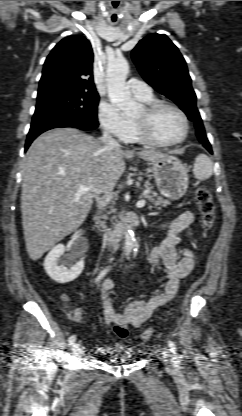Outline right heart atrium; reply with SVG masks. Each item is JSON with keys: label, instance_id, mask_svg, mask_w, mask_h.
Returning a JSON list of instances; mask_svg holds the SVG:
<instances>
[{"label": "right heart atrium", "instance_id": "right-heart-atrium-1", "mask_svg": "<svg viewBox=\"0 0 242 416\" xmlns=\"http://www.w3.org/2000/svg\"><path fill=\"white\" fill-rule=\"evenodd\" d=\"M98 120L103 131L118 140H127L132 132V122L108 101L99 103Z\"/></svg>", "mask_w": 242, "mask_h": 416}]
</instances>
